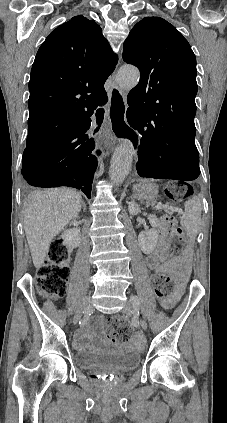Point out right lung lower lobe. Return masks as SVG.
Returning <instances> with one entry per match:
<instances>
[{"label": "right lung lower lobe", "instance_id": "right-lung-lower-lobe-1", "mask_svg": "<svg viewBox=\"0 0 227 423\" xmlns=\"http://www.w3.org/2000/svg\"><path fill=\"white\" fill-rule=\"evenodd\" d=\"M96 107L88 104L70 106H37L29 109V120L52 117L71 119L72 124L53 137L25 148L22 175L35 187L68 186L91 197L97 167L95 143L85 132L90 128Z\"/></svg>", "mask_w": 227, "mask_h": 423}]
</instances>
